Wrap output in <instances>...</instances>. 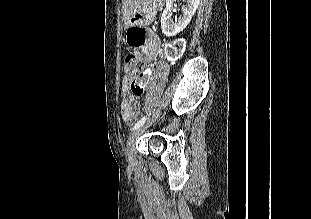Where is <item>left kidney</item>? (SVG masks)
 Instances as JSON below:
<instances>
[{"instance_id": "left-kidney-1", "label": "left kidney", "mask_w": 311, "mask_h": 219, "mask_svg": "<svg viewBox=\"0 0 311 219\" xmlns=\"http://www.w3.org/2000/svg\"><path fill=\"white\" fill-rule=\"evenodd\" d=\"M174 1L175 0H166V8L161 17V29L167 37L175 36L186 28L200 3V0H186L187 4L182 8V14L174 22L171 19Z\"/></svg>"}]
</instances>
